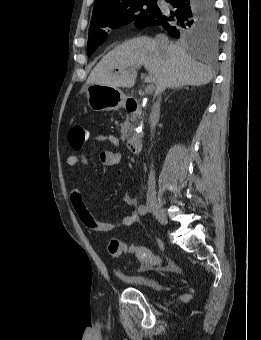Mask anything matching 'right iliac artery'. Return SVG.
Instances as JSON below:
<instances>
[{"label":"right iliac artery","instance_id":"right-iliac-artery-1","mask_svg":"<svg viewBox=\"0 0 261 340\" xmlns=\"http://www.w3.org/2000/svg\"><path fill=\"white\" fill-rule=\"evenodd\" d=\"M138 212L140 213V215H143V216L146 215L147 212H148L147 206H145V205H140L139 208H138ZM157 243H158L159 247H160L161 249H163V243H162V241H161L160 238H157Z\"/></svg>","mask_w":261,"mask_h":340}]
</instances>
